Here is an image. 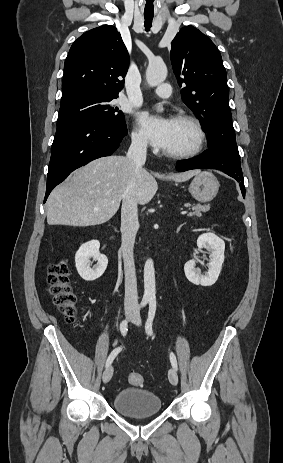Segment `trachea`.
<instances>
[{"instance_id": "trachea-1", "label": "trachea", "mask_w": 283, "mask_h": 463, "mask_svg": "<svg viewBox=\"0 0 283 463\" xmlns=\"http://www.w3.org/2000/svg\"><path fill=\"white\" fill-rule=\"evenodd\" d=\"M144 18H145V29H146V31H149L150 28H151V25H152L153 15L152 14H145Z\"/></svg>"}]
</instances>
